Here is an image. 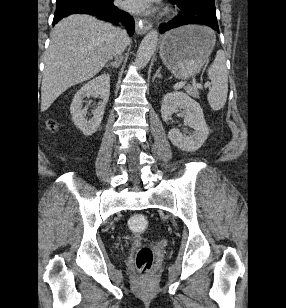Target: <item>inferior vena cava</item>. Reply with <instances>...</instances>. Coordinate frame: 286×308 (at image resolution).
Listing matches in <instances>:
<instances>
[{"instance_id": "602c4592", "label": "inferior vena cava", "mask_w": 286, "mask_h": 308, "mask_svg": "<svg viewBox=\"0 0 286 308\" xmlns=\"http://www.w3.org/2000/svg\"><path fill=\"white\" fill-rule=\"evenodd\" d=\"M117 31L119 35V40L113 53L116 58H118V55H121L122 52L125 50L128 41V35L125 29L118 28Z\"/></svg>"}]
</instances>
